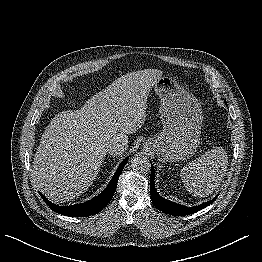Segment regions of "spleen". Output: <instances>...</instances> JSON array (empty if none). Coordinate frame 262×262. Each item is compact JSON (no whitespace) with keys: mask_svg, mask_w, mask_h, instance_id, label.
I'll return each mask as SVG.
<instances>
[{"mask_svg":"<svg viewBox=\"0 0 262 262\" xmlns=\"http://www.w3.org/2000/svg\"><path fill=\"white\" fill-rule=\"evenodd\" d=\"M228 158L222 147H215L190 162L180 171L189 193L205 197L221 183L227 171Z\"/></svg>","mask_w":262,"mask_h":262,"instance_id":"1","label":"spleen"}]
</instances>
